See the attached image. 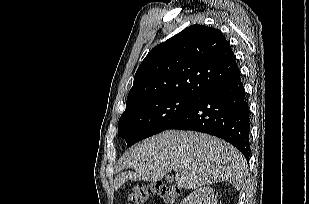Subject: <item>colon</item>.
<instances>
[{
	"label": "colon",
	"mask_w": 309,
	"mask_h": 204,
	"mask_svg": "<svg viewBox=\"0 0 309 204\" xmlns=\"http://www.w3.org/2000/svg\"><path fill=\"white\" fill-rule=\"evenodd\" d=\"M154 195L160 196L166 204H174L180 195V190L163 182L141 184L132 189L129 201L132 204H143Z\"/></svg>",
	"instance_id": "colon-1"
}]
</instances>
